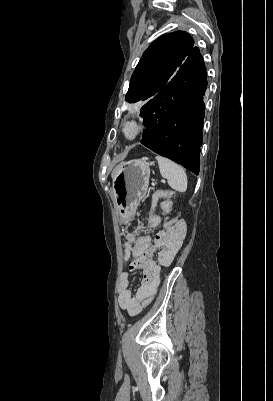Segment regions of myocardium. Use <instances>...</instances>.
I'll return each mask as SVG.
<instances>
[{
	"instance_id": "1",
	"label": "myocardium",
	"mask_w": 273,
	"mask_h": 401,
	"mask_svg": "<svg viewBox=\"0 0 273 401\" xmlns=\"http://www.w3.org/2000/svg\"><path fill=\"white\" fill-rule=\"evenodd\" d=\"M127 127H131L134 131L133 136L131 138L125 137L124 132ZM146 130H147V123L144 119L136 116H131L124 119L120 123L119 136L123 142L130 144L138 141L146 132Z\"/></svg>"
}]
</instances>
